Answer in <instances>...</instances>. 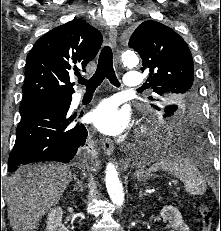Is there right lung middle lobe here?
<instances>
[{"label": "right lung middle lobe", "instance_id": "dd1d6c3e", "mask_svg": "<svg viewBox=\"0 0 221 231\" xmlns=\"http://www.w3.org/2000/svg\"><path fill=\"white\" fill-rule=\"evenodd\" d=\"M50 100H55V99H26V100H22V103L20 105V111L28 108L32 105H36L45 101H50Z\"/></svg>", "mask_w": 221, "mask_h": 231}]
</instances>
